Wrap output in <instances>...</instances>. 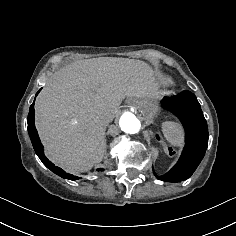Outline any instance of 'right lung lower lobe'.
<instances>
[{"mask_svg": "<svg viewBox=\"0 0 236 236\" xmlns=\"http://www.w3.org/2000/svg\"><path fill=\"white\" fill-rule=\"evenodd\" d=\"M39 92H37L38 94ZM36 94V96H37ZM35 102V100H34ZM34 102L33 104L30 106V112L28 114V118H27V122H28V133L33 145V148L36 152V154L38 155V157L40 158V160L42 161V163L49 168L52 172H54L55 174H57L58 176L65 178V179H69V180H76L79 179L76 176H73L71 174L65 173L61 168L55 167L53 163H51L44 155L43 152V145L39 139L37 130L35 128V124H34ZM99 170H103V169H99Z\"/></svg>", "mask_w": 236, "mask_h": 236, "instance_id": "right-lung-lower-lobe-1", "label": "right lung lower lobe"}]
</instances>
